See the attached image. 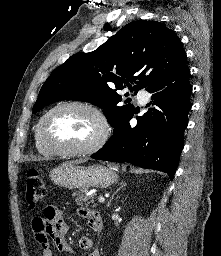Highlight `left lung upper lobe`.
<instances>
[{"label":"left lung upper lobe","instance_id":"5c2ea615","mask_svg":"<svg viewBox=\"0 0 221 256\" xmlns=\"http://www.w3.org/2000/svg\"><path fill=\"white\" fill-rule=\"evenodd\" d=\"M185 66L186 53L174 31L157 21H133L95 51L76 53L56 68L33 113L55 101H86L102 108L115 128L134 113L131 104L117 106L122 97L116 90L127 85L134 94L148 91Z\"/></svg>","mask_w":221,"mask_h":256}]
</instances>
